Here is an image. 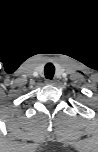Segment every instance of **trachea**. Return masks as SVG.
I'll return each instance as SVG.
<instances>
[{
	"instance_id": "obj_1",
	"label": "trachea",
	"mask_w": 98,
	"mask_h": 152,
	"mask_svg": "<svg viewBox=\"0 0 98 152\" xmlns=\"http://www.w3.org/2000/svg\"><path fill=\"white\" fill-rule=\"evenodd\" d=\"M55 67L52 63L45 65L44 74L47 79H52L54 77Z\"/></svg>"
}]
</instances>
